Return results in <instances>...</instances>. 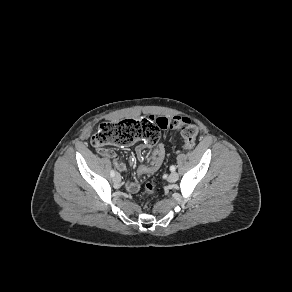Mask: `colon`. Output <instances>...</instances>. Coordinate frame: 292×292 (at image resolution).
<instances>
[{
	"label": "colon",
	"instance_id": "5ec220e1",
	"mask_svg": "<svg viewBox=\"0 0 292 292\" xmlns=\"http://www.w3.org/2000/svg\"><path fill=\"white\" fill-rule=\"evenodd\" d=\"M178 130L183 138V148L191 150L195 145L198 128L188 118L174 116L171 118H142L138 120L124 119L118 122H104L99 125L91 138L92 145L98 150L108 144L128 145L138 139H144L155 143L160 136V129ZM154 185L148 183L145 186V193L154 192Z\"/></svg>",
	"mask_w": 292,
	"mask_h": 292
}]
</instances>
